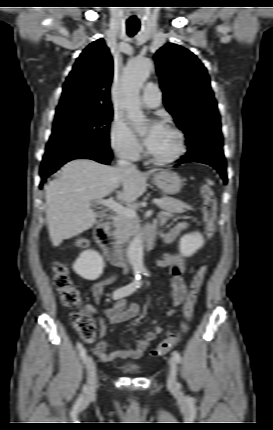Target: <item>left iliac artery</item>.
<instances>
[{
  "mask_svg": "<svg viewBox=\"0 0 273 430\" xmlns=\"http://www.w3.org/2000/svg\"><path fill=\"white\" fill-rule=\"evenodd\" d=\"M145 275H149V273H148V271H145V273H144ZM172 355H173V357H174V359H175V361L177 362V363H179V362H181V355H180V353L178 352V351H173L172 352Z\"/></svg>",
  "mask_w": 273,
  "mask_h": 430,
  "instance_id": "44dca946",
  "label": "left iliac artery"
}]
</instances>
